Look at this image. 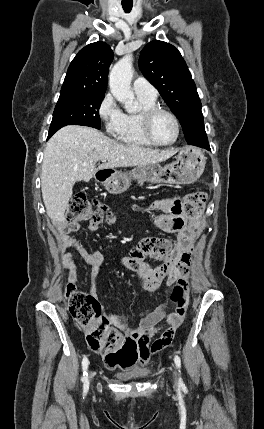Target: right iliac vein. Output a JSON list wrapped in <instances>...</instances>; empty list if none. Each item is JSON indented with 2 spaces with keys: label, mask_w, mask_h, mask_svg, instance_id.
I'll list each match as a JSON object with an SVG mask.
<instances>
[{
  "label": "right iliac vein",
  "mask_w": 264,
  "mask_h": 429,
  "mask_svg": "<svg viewBox=\"0 0 264 429\" xmlns=\"http://www.w3.org/2000/svg\"><path fill=\"white\" fill-rule=\"evenodd\" d=\"M93 376H94V373L92 371H89V381L92 380Z\"/></svg>",
  "instance_id": "1"
}]
</instances>
